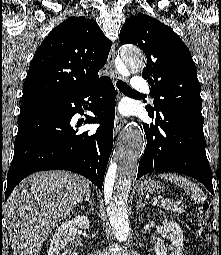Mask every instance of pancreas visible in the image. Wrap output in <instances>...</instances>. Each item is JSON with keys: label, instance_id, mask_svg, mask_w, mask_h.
I'll list each match as a JSON object with an SVG mask.
<instances>
[{"label": "pancreas", "instance_id": "obj_1", "mask_svg": "<svg viewBox=\"0 0 221 255\" xmlns=\"http://www.w3.org/2000/svg\"><path fill=\"white\" fill-rule=\"evenodd\" d=\"M161 207L167 211L182 214L184 212V205H179L178 203H173L171 201H166L161 205Z\"/></svg>", "mask_w": 221, "mask_h": 255}]
</instances>
